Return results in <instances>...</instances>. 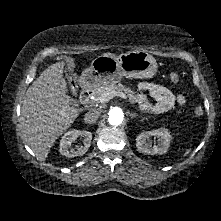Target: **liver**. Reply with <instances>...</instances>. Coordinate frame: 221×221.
Instances as JSON below:
<instances>
[{"label": "liver", "instance_id": "1", "mask_svg": "<svg viewBox=\"0 0 221 221\" xmlns=\"http://www.w3.org/2000/svg\"><path fill=\"white\" fill-rule=\"evenodd\" d=\"M64 65L65 62H58L44 70L28 88L21 107L24 140L40 160L48 157L55 140L79 115V111L70 106L63 78Z\"/></svg>", "mask_w": 221, "mask_h": 221}]
</instances>
